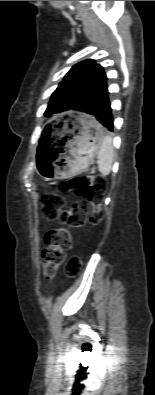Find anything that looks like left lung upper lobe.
Masks as SVG:
<instances>
[{
  "label": "left lung upper lobe",
  "mask_w": 155,
  "mask_h": 395,
  "mask_svg": "<svg viewBox=\"0 0 155 395\" xmlns=\"http://www.w3.org/2000/svg\"><path fill=\"white\" fill-rule=\"evenodd\" d=\"M107 79L103 67L88 59L74 65L53 92L45 116L67 110H81L85 98Z\"/></svg>",
  "instance_id": "left-lung-upper-lobe-1"
}]
</instances>
